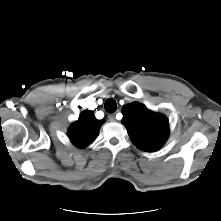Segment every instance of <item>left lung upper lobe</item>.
Wrapping results in <instances>:
<instances>
[{"instance_id":"1","label":"left lung upper lobe","mask_w":221,"mask_h":221,"mask_svg":"<svg viewBox=\"0 0 221 221\" xmlns=\"http://www.w3.org/2000/svg\"><path fill=\"white\" fill-rule=\"evenodd\" d=\"M122 113V123L137 148L144 151H156L163 146L169 135L166 117L150 111L138 102L125 105Z\"/></svg>"}]
</instances>
